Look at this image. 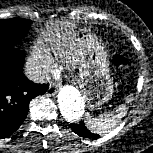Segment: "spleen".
<instances>
[{
	"mask_svg": "<svg viewBox=\"0 0 153 153\" xmlns=\"http://www.w3.org/2000/svg\"><path fill=\"white\" fill-rule=\"evenodd\" d=\"M133 96L130 94L126 96L125 102L131 103ZM127 113L126 104L119 105L115 111L109 112L99 117H92L89 113L86 114V126L99 134L104 133L108 129L114 127Z\"/></svg>",
	"mask_w": 153,
	"mask_h": 153,
	"instance_id": "obj_1",
	"label": "spleen"
}]
</instances>
